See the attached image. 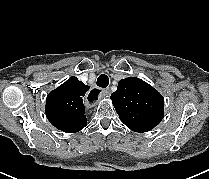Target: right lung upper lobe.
I'll return each instance as SVG.
<instances>
[{"instance_id":"1","label":"right lung upper lobe","mask_w":209,"mask_h":179,"mask_svg":"<svg viewBox=\"0 0 209 179\" xmlns=\"http://www.w3.org/2000/svg\"><path fill=\"white\" fill-rule=\"evenodd\" d=\"M88 89L89 86L73 76L51 91L46 99V116L50 123L66 133L83 129L87 125L84 102Z\"/></svg>"}]
</instances>
